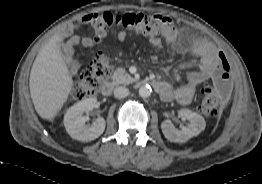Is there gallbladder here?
<instances>
[{
    "label": "gallbladder",
    "instance_id": "gallbladder-1",
    "mask_svg": "<svg viewBox=\"0 0 262 184\" xmlns=\"http://www.w3.org/2000/svg\"><path fill=\"white\" fill-rule=\"evenodd\" d=\"M65 60L68 62V63H72V57L69 53H67V51L65 50Z\"/></svg>",
    "mask_w": 262,
    "mask_h": 184
}]
</instances>
